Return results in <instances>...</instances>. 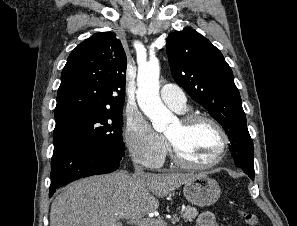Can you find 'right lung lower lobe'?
I'll list each match as a JSON object with an SVG mask.
<instances>
[{
  "mask_svg": "<svg viewBox=\"0 0 297 226\" xmlns=\"http://www.w3.org/2000/svg\"><path fill=\"white\" fill-rule=\"evenodd\" d=\"M124 155V150L89 140L62 138L54 141L49 197L58 187L81 177L117 170Z\"/></svg>",
  "mask_w": 297,
  "mask_h": 226,
  "instance_id": "right-lung-lower-lobe-1",
  "label": "right lung lower lobe"
}]
</instances>
